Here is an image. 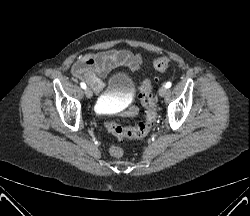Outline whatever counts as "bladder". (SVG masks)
<instances>
[{"instance_id":"obj_1","label":"bladder","mask_w":250,"mask_h":216,"mask_svg":"<svg viewBox=\"0 0 250 216\" xmlns=\"http://www.w3.org/2000/svg\"><path fill=\"white\" fill-rule=\"evenodd\" d=\"M134 91L133 79L125 73H116L109 78L107 89L98 100L97 109L105 111L118 99L132 96Z\"/></svg>"}]
</instances>
